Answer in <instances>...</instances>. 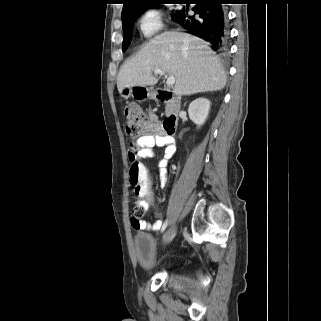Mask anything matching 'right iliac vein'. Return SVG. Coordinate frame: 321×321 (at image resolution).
<instances>
[{
    "mask_svg": "<svg viewBox=\"0 0 321 321\" xmlns=\"http://www.w3.org/2000/svg\"><path fill=\"white\" fill-rule=\"evenodd\" d=\"M176 228L174 226H171L163 235L162 242L163 244H167L170 242V240L174 237L175 235Z\"/></svg>",
    "mask_w": 321,
    "mask_h": 321,
    "instance_id": "1",
    "label": "right iliac vein"
}]
</instances>
